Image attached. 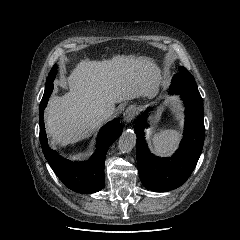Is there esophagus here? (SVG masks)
I'll return each mask as SVG.
<instances>
[{
    "mask_svg": "<svg viewBox=\"0 0 240 240\" xmlns=\"http://www.w3.org/2000/svg\"><path fill=\"white\" fill-rule=\"evenodd\" d=\"M135 114H136V108L131 106L129 108H127L125 110V112L123 113V120L125 123H129L131 122L134 117H135Z\"/></svg>",
    "mask_w": 240,
    "mask_h": 240,
    "instance_id": "34e87169",
    "label": "esophagus"
}]
</instances>
